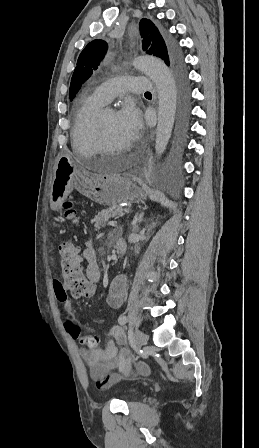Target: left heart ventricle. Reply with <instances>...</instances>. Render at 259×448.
Wrapping results in <instances>:
<instances>
[{"label":"left heart ventricle","instance_id":"b2bd125f","mask_svg":"<svg viewBox=\"0 0 259 448\" xmlns=\"http://www.w3.org/2000/svg\"><path fill=\"white\" fill-rule=\"evenodd\" d=\"M104 123L108 140L112 146H114L117 151L125 147L128 142V135L119 125L117 121V114L114 111L104 112ZM76 152L84 159L92 155L100 154L97 150H79Z\"/></svg>","mask_w":259,"mask_h":448}]
</instances>
